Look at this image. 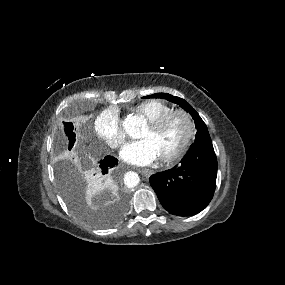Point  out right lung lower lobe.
I'll return each instance as SVG.
<instances>
[{
    "label": "right lung lower lobe",
    "instance_id": "98d812e1",
    "mask_svg": "<svg viewBox=\"0 0 285 285\" xmlns=\"http://www.w3.org/2000/svg\"><path fill=\"white\" fill-rule=\"evenodd\" d=\"M117 159L112 156H106L102 159L98 164V170L100 171V180L102 182H109L111 172L113 171V167L117 165ZM122 203H125V198L123 197L121 200Z\"/></svg>",
    "mask_w": 285,
    "mask_h": 285
}]
</instances>
